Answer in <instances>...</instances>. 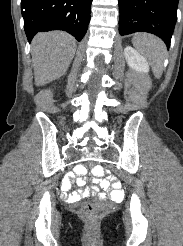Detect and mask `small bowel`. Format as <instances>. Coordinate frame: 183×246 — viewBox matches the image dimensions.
<instances>
[{"label":"small bowel","instance_id":"obj_1","mask_svg":"<svg viewBox=\"0 0 183 246\" xmlns=\"http://www.w3.org/2000/svg\"><path fill=\"white\" fill-rule=\"evenodd\" d=\"M90 178L91 183H94L93 191L100 192L102 197H109L112 200H118L123 197V191L120 187V183L117 180H112L113 176L109 175L108 179H102L103 174H112V169H105V167H91ZM86 173L85 167L82 165H78L75 168L76 175H84ZM72 179H74V174H65V179L63 184H60V189L63 191H68L69 189H73ZM112 180V181H111ZM76 183L79 186L84 184V180L82 178H77ZM89 194L88 190H79L78 192L68 196L69 199L73 201H77L82 197H85Z\"/></svg>","mask_w":183,"mask_h":246}]
</instances>
